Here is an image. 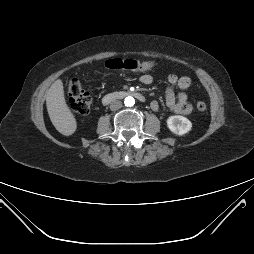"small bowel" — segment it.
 <instances>
[{"label":"small bowel","instance_id":"obj_1","mask_svg":"<svg viewBox=\"0 0 254 254\" xmlns=\"http://www.w3.org/2000/svg\"><path fill=\"white\" fill-rule=\"evenodd\" d=\"M140 82L144 85H150L153 82V77L150 74H143L140 76ZM168 87L165 92V105L173 113L188 115L192 111V106L188 102V95L186 90L191 86V80L189 77H178L175 74H170L166 78ZM180 89V92L176 93L175 88ZM151 109L154 111L159 110V103L152 101Z\"/></svg>","mask_w":254,"mask_h":254}]
</instances>
